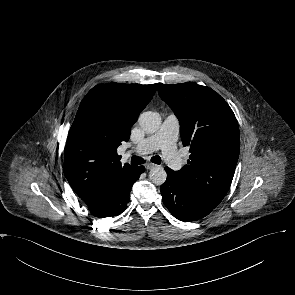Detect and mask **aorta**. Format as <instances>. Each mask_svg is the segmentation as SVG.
Here are the masks:
<instances>
[{"mask_svg": "<svg viewBox=\"0 0 295 295\" xmlns=\"http://www.w3.org/2000/svg\"><path fill=\"white\" fill-rule=\"evenodd\" d=\"M139 125L146 133H155L161 126L159 113L146 111L139 116ZM167 178V173L161 166H155L149 172V179L156 185H162Z\"/></svg>", "mask_w": 295, "mask_h": 295, "instance_id": "762f6f07", "label": "aorta"}]
</instances>
